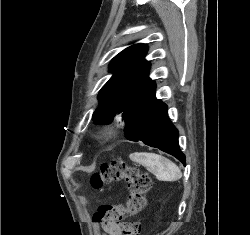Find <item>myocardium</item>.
I'll list each match as a JSON object with an SVG mask.
<instances>
[{
    "label": "myocardium",
    "mask_w": 250,
    "mask_h": 235,
    "mask_svg": "<svg viewBox=\"0 0 250 235\" xmlns=\"http://www.w3.org/2000/svg\"><path fill=\"white\" fill-rule=\"evenodd\" d=\"M112 129L110 128V126H104V128L102 129L101 134L105 137L111 136L112 135Z\"/></svg>",
    "instance_id": "myocardium-1"
}]
</instances>
